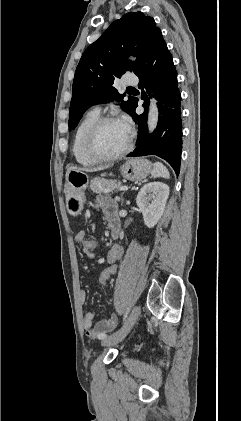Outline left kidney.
Returning <instances> with one entry per match:
<instances>
[{"instance_id": "5707ae66", "label": "left kidney", "mask_w": 241, "mask_h": 421, "mask_svg": "<svg viewBox=\"0 0 241 421\" xmlns=\"http://www.w3.org/2000/svg\"><path fill=\"white\" fill-rule=\"evenodd\" d=\"M169 192V186L162 182L147 183L138 192L136 203L147 227H154L163 215Z\"/></svg>"}]
</instances>
